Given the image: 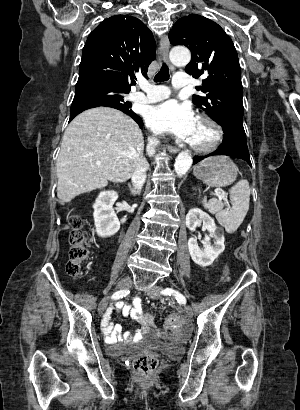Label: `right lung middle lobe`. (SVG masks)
Wrapping results in <instances>:
<instances>
[{"label": "right lung middle lobe", "instance_id": "dd1d6c3e", "mask_svg": "<svg viewBox=\"0 0 300 410\" xmlns=\"http://www.w3.org/2000/svg\"><path fill=\"white\" fill-rule=\"evenodd\" d=\"M128 93V91H123L102 83L78 82L76 84L75 96L70 112L97 105H110L130 110V102L124 100V95Z\"/></svg>", "mask_w": 300, "mask_h": 410}]
</instances>
